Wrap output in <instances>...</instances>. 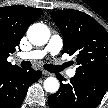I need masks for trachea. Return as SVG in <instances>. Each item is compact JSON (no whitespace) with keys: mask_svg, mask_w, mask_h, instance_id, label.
<instances>
[{"mask_svg":"<svg viewBox=\"0 0 108 108\" xmlns=\"http://www.w3.org/2000/svg\"><path fill=\"white\" fill-rule=\"evenodd\" d=\"M21 67L23 68H30L31 67V62L29 61H22L20 63ZM66 67V65H62V66H57V65H51V64H45L44 68L49 71V72H53V73H57L62 71L64 68Z\"/></svg>","mask_w":108,"mask_h":108,"instance_id":"3493384b","label":"trachea"}]
</instances>
